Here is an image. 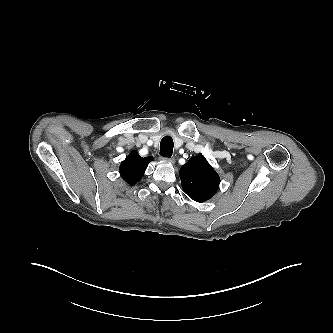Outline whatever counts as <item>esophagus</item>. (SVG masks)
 <instances>
[{
  "instance_id": "34e87169",
  "label": "esophagus",
  "mask_w": 333,
  "mask_h": 333,
  "mask_svg": "<svg viewBox=\"0 0 333 333\" xmlns=\"http://www.w3.org/2000/svg\"><path fill=\"white\" fill-rule=\"evenodd\" d=\"M161 159L169 161L170 163H174L175 162V159L173 157H170V158H168V157H161Z\"/></svg>"
}]
</instances>
